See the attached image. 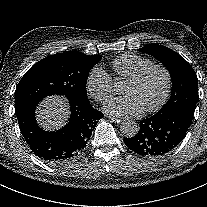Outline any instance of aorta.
<instances>
[{
  "label": "aorta",
  "mask_w": 207,
  "mask_h": 207,
  "mask_svg": "<svg viewBox=\"0 0 207 207\" xmlns=\"http://www.w3.org/2000/svg\"><path fill=\"white\" fill-rule=\"evenodd\" d=\"M115 87L116 89H119L120 85L118 82L116 83ZM120 131L125 137L131 138L136 136V134L139 131V126L137 125L136 122L132 120H126L121 123Z\"/></svg>",
  "instance_id": "762f6f07"
}]
</instances>
